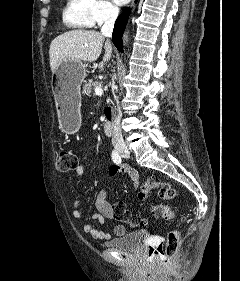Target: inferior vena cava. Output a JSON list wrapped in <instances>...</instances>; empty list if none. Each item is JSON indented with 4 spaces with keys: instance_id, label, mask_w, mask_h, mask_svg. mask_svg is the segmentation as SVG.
<instances>
[{
    "instance_id": "602c4592",
    "label": "inferior vena cava",
    "mask_w": 240,
    "mask_h": 281,
    "mask_svg": "<svg viewBox=\"0 0 240 281\" xmlns=\"http://www.w3.org/2000/svg\"><path fill=\"white\" fill-rule=\"evenodd\" d=\"M119 8L116 6H110L104 25L101 27V33L103 36L110 38L112 36L114 23L118 17ZM115 100L118 102V98L115 96ZM122 112L120 107L113 109V144H123L124 140L120 128V120Z\"/></svg>"
}]
</instances>
